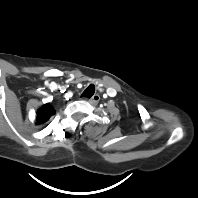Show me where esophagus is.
I'll return each mask as SVG.
<instances>
[{
	"mask_svg": "<svg viewBox=\"0 0 198 198\" xmlns=\"http://www.w3.org/2000/svg\"><path fill=\"white\" fill-rule=\"evenodd\" d=\"M99 100H100V96L98 94H95L89 99V102L92 104H97Z\"/></svg>",
	"mask_w": 198,
	"mask_h": 198,
	"instance_id": "esophagus-1",
	"label": "esophagus"
}]
</instances>
